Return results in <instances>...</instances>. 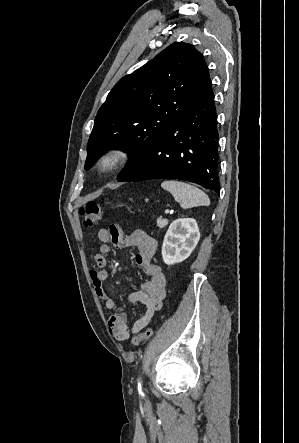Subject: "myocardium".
I'll list each match as a JSON object with an SVG mask.
<instances>
[{
  "label": "myocardium",
  "mask_w": 299,
  "mask_h": 443,
  "mask_svg": "<svg viewBox=\"0 0 299 443\" xmlns=\"http://www.w3.org/2000/svg\"><path fill=\"white\" fill-rule=\"evenodd\" d=\"M129 158L126 149L121 146H111L106 149L96 162V171L101 175H106L117 170L125 164Z\"/></svg>",
  "instance_id": "f54148a6"
}]
</instances>
